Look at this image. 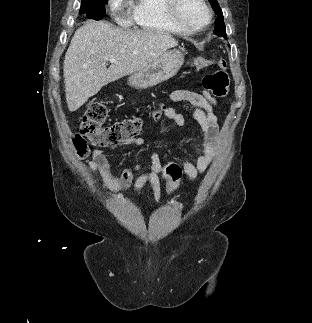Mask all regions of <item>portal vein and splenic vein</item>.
Here are the masks:
<instances>
[{
    "label": "portal vein and splenic vein",
    "mask_w": 312,
    "mask_h": 323,
    "mask_svg": "<svg viewBox=\"0 0 312 323\" xmlns=\"http://www.w3.org/2000/svg\"><path fill=\"white\" fill-rule=\"evenodd\" d=\"M108 62H111V64H115V62H118V60H115V58H109Z\"/></svg>",
    "instance_id": "obj_1"
}]
</instances>
